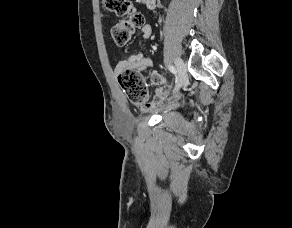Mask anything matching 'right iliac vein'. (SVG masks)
<instances>
[{
  "label": "right iliac vein",
  "mask_w": 292,
  "mask_h": 228,
  "mask_svg": "<svg viewBox=\"0 0 292 228\" xmlns=\"http://www.w3.org/2000/svg\"><path fill=\"white\" fill-rule=\"evenodd\" d=\"M175 64L178 70V80H177L175 89L179 90L181 87L187 84L188 76H187L185 64L181 58L177 57L175 59Z\"/></svg>",
  "instance_id": "1"
}]
</instances>
